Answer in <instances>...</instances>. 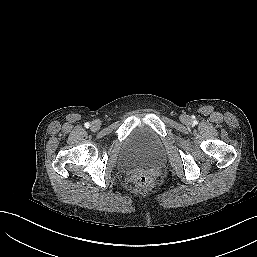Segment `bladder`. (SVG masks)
I'll return each mask as SVG.
<instances>
[{
    "mask_svg": "<svg viewBox=\"0 0 257 257\" xmlns=\"http://www.w3.org/2000/svg\"><path fill=\"white\" fill-rule=\"evenodd\" d=\"M164 157L161 138L146 125L134 128L123 142L121 163L125 170L155 168Z\"/></svg>",
    "mask_w": 257,
    "mask_h": 257,
    "instance_id": "1",
    "label": "bladder"
}]
</instances>
